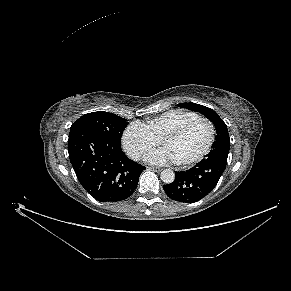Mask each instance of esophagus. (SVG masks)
Segmentation results:
<instances>
[{"instance_id": "34e87169", "label": "esophagus", "mask_w": 291, "mask_h": 291, "mask_svg": "<svg viewBox=\"0 0 291 291\" xmlns=\"http://www.w3.org/2000/svg\"><path fill=\"white\" fill-rule=\"evenodd\" d=\"M148 169L155 171V172H160L162 169L159 167H148Z\"/></svg>"}]
</instances>
